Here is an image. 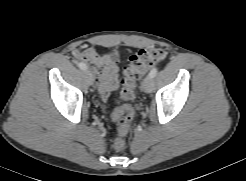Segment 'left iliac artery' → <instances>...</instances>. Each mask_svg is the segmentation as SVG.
I'll use <instances>...</instances> for the list:
<instances>
[{
  "instance_id": "44dca946",
  "label": "left iliac artery",
  "mask_w": 246,
  "mask_h": 181,
  "mask_svg": "<svg viewBox=\"0 0 246 181\" xmlns=\"http://www.w3.org/2000/svg\"><path fill=\"white\" fill-rule=\"evenodd\" d=\"M157 72H158V69L155 67V68H153V69L150 71L149 75H150L151 77H155L156 74H157Z\"/></svg>"
}]
</instances>
